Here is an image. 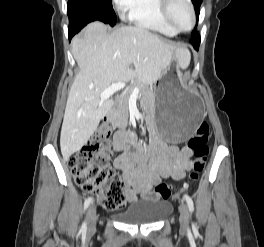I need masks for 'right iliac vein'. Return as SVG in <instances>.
<instances>
[{"label": "right iliac vein", "instance_id": "1", "mask_svg": "<svg viewBox=\"0 0 264 247\" xmlns=\"http://www.w3.org/2000/svg\"><path fill=\"white\" fill-rule=\"evenodd\" d=\"M86 218L88 222V231L89 232L94 231L96 227L97 213H96V208L93 204L90 205V207L88 208Z\"/></svg>", "mask_w": 264, "mask_h": 247}]
</instances>
